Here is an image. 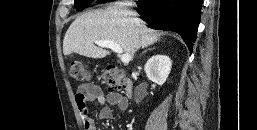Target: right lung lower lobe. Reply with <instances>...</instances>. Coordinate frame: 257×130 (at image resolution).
Here are the masks:
<instances>
[{"mask_svg": "<svg viewBox=\"0 0 257 130\" xmlns=\"http://www.w3.org/2000/svg\"><path fill=\"white\" fill-rule=\"evenodd\" d=\"M137 12L148 26L178 33L192 52L201 19L202 0H149Z\"/></svg>", "mask_w": 257, "mask_h": 130, "instance_id": "obj_1", "label": "right lung lower lobe"}]
</instances>
